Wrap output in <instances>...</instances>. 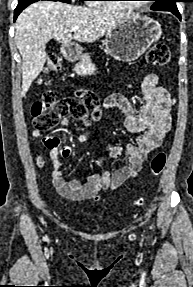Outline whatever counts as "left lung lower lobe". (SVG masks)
I'll return each instance as SVG.
<instances>
[{"mask_svg":"<svg viewBox=\"0 0 193 287\" xmlns=\"http://www.w3.org/2000/svg\"><path fill=\"white\" fill-rule=\"evenodd\" d=\"M170 12H172L176 17H178L181 20V15L178 11V9H172V10H168Z\"/></svg>","mask_w":193,"mask_h":287,"instance_id":"0a47b994","label":"left lung lower lobe"}]
</instances>
